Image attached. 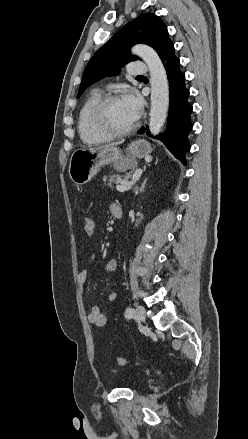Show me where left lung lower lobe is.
Here are the masks:
<instances>
[{
    "instance_id": "obj_1",
    "label": "left lung lower lobe",
    "mask_w": 248,
    "mask_h": 439,
    "mask_svg": "<svg viewBox=\"0 0 248 439\" xmlns=\"http://www.w3.org/2000/svg\"><path fill=\"white\" fill-rule=\"evenodd\" d=\"M160 59L169 81L170 107L167 130L155 138L161 140L173 155L185 164L184 154L190 149L188 134L192 130L190 122L192 106L188 102L189 90L184 84L185 74L180 70V60L174 54L173 43L164 49ZM144 131V128H141L138 133L142 134ZM146 132L148 136L153 137L148 128Z\"/></svg>"
}]
</instances>
